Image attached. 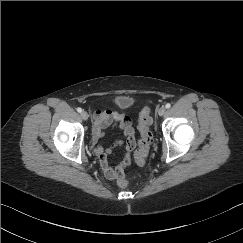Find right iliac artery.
<instances>
[{"instance_id":"right-iliac-artery-1","label":"right iliac artery","mask_w":243,"mask_h":243,"mask_svg":"<svg viewBox=\"0 0 243 243\" xmlns=\"http://www.w3.org/2000/svg\"><path fill=\"white\" fill-rule=\"evenodd\" d=\"M77 111H78L79 113H81V112H82V109H81L80 107H78V108H77Z\"/></svg>"}]
</instances>
